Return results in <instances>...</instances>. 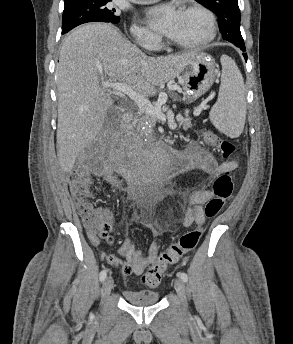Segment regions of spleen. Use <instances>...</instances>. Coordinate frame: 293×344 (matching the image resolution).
Segmentation results:
<instances>
[{
	"label": "spleen",
	"mask_w": 293,
	"mask_h": 344,
	"mask_svg": "<svg viewBox=\"0 0 293 344\" xmlns=\"http://www.w3.org/2000/svg\"><path fill=\"white\" fill-rule=\"evenodd\" d=\"M222 74L217 102L210 111L212 124L230 138L241 135L246 119L245 86L235 61L221 56Z\"/></svg>",
	"instance_id": "obj_1"
}]
</instances>
